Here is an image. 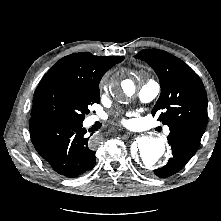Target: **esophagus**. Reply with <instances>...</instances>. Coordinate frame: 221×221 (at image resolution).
<instances>
[{"label":"esophagus","instance_id":"34e87169","mask_svg":"<svg viewBox=\"0 0 221 221\" xmlns=\"http://www.w3.org/2000/svg\"><path fill=\"white\" fill-rule=\"evenodd\" d=\"M125 134H124V136H128V135H131L132 133L131 132H128V131H126V132H124Z\"/></svg>","mask_w":221,"mask_h":221}]
</instances>
